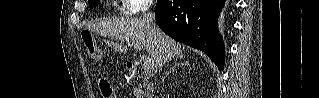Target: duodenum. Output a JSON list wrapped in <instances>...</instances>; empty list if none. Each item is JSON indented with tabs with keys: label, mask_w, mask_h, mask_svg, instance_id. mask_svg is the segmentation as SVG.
<instances>
[{
	"label": "duodenum",
	"mask_w": 319,
	"mask_h": 98,
	"mask_svg": "<svg viewBox=\"0 0 319 98\" xmlns=\"http://www.w3.org/2000/svg\"><path fill=\"white\" fill-rule=\"evenodd\" d=\"M126 69L129 71V72H134L136 70V66L133 62H127L126 63Z\"/></svg>",
	"instance_id": "410a0bca"
}]
</instances>
